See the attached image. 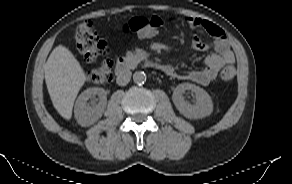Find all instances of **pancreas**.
Wrapping results in <instances>:
<instances>
[{"label": "pancreas", "instance_id": "1", "mask_svg": "<svg viewBox=\"0 0 292 184\" xmlns=\"http://www.w3.org/2000/svg\"><path fill=\"white\" fill-rule=\"evenodd\" d=\"M127 58L130 60L131 63H134L137 61V56L132 54L131 52L127 53Z\"/></svg>", "mask_w": 292, "mask_h": 184}]
</instances>
